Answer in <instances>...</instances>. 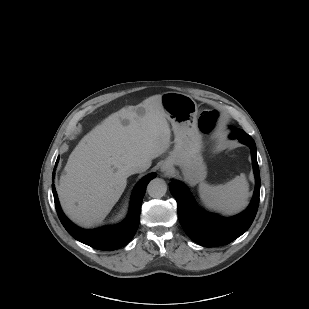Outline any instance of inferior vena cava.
<instances>
[{
    "label": "inferior vena cava",
    "instance_id": "602c4592",
    "mask_svg": "<svg viewBox=\"0 0 309 309\" xmlns=\"http://www.w3.org/2000/svg\"><path fill=\"white\" fill-rule=\"evenodd\" d=\"M148 167L146 165H135L133 167H131L129 170H128V174L131 175V174H134V173H140V172H144L145 170H147Z\"/></svg>",
    "mask_w": 309,
    "mask_h": 309
}]
</instances>
